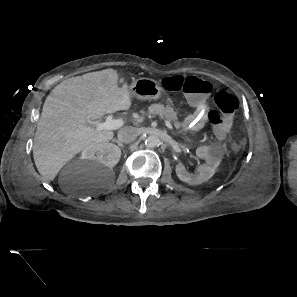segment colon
I'll return each mask as SVG.
<instances>
[{"instance_id": "1", "label": "colon", "mask_w": 297, "mask_h": 297, "mask_svg": "<svg viewBox=\"0 0 297 297\" xmlns=\"http://www.w3.org/2000/svg\"><path fill=\"white\" fill-rule=\"evenodd\" d=\"M162 87L169 91L181 92L195 102H199L211 95L213 85L210 81L194 76H169L162 80ZM215 108L208 114L214 135L218 139L226 138L229 133L239 100L227 91L220 90L214 97Z\"/></svg>"}]
</instances>
